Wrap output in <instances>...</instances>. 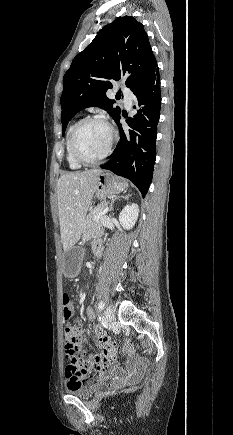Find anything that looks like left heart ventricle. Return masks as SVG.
Listing matches in <instances>:
<instances>
[{
	"label": "left heart ventricle",
	"mask_w": 233,
	"mask_h": 435,
	"mask_svg": "<svg viewBox=\"0 0 233 435\" xmlns=\"http://www.w3.org/2000/svg\"><path fill=\"white\" fill-rule=\"evenodd\" d=\"M110 139L108 127L100 122L83 125L77 135V145L81 154L88 160L100 157L106 150Z\"/></svg>",
	"instance_id": "b2bd125f"
}]
</instances>
